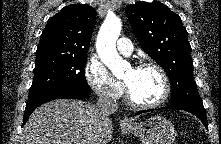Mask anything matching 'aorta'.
<instances>
[{"label":"aorta","mask_w":221,"mask_h":144,"mask_svg":"<svg viewBox=\"0 0 221 144\" xmlns=\"http://www.w3.org/2000/svg\"><path fill=\"white\" fill-rule=\"evenodd\" d=\"M121 29V20L116 16H109L103 22L96 41L99 58L116 77L123 76L124 71L130 67V64L123 60L116 50V41Z\"/></svg>","instance_id":"obj_1"}]
</instances>
